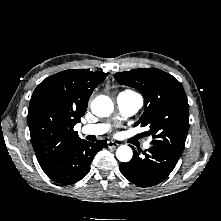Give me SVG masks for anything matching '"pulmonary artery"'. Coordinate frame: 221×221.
<instances>
[{
  "mask_svg": "<svg viewBox=\"0 0 221 221\" xmlns=\"http://www.w3.org/2000/svg\"><path fill=\"white\" fill-rule=\"evenodd\" d=\"M142 97L131 91L121 92L117 96V106L122 117L127 118L133 116L142 106ZM109 125L104 123L85 125L81 128V133L85 135L99 136L103 135L109 130ZM150 142L144 144V148L148 149Z\"/></svg>",
  "mask_w": 221,
  "mask_h": 221,
  "instance_id": "e3ab8cb5",
  "label": "pulmonary artery"
}]
</instances>
